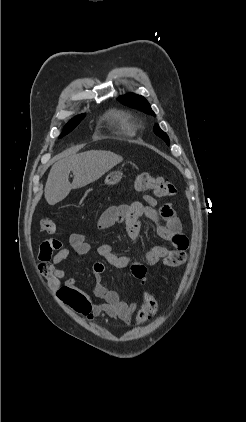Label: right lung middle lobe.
Returning <instances> with one entry per match:
<instances>
[{
    "label": "right lung middle lobe",
    "mask_w": 246,
    "mask_h": 422,
    "mask_svg": "<svg viewBox=\"0 0 246 422\" xmlns=\"http://www.w3.org/2000/svg\"><path fill=\"white\" fill-rule=\"evenodd\" d=\"M84 114H82V115H78V116H76L75 118H73L67 125H66V127L64 128V131H63V133L61 134V136L60 137H62V136H64V135H66V134H68L70 131H72L80 122H81V120L84 118Z\"/></svg>",
    "instance_id": "obj_1"
}]
</instances>
